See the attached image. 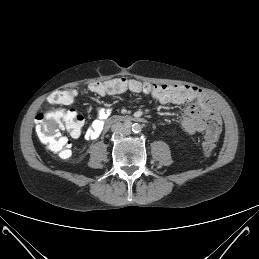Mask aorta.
Returning a JSON list of instances; mask_svg holds the SVG:
<instances>
[{"label":"aorta","mask_w":259,"mask_h":259,"mask_svg":"<svg viewBox=\"0 0 259 259\" xmlns=\"http://www.w3.org/2000/svg\"><path fill=\"white\" fill-rule=\"evenodd\" d=\"M132 129H133L134 132H139V130H140V125H137V124H136V125H133V128H132Z\"/></svg>","instance_id":"1"}]
</instances>
